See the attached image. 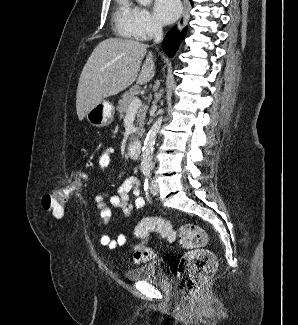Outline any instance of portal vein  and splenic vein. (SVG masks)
<instances>
[{"mask_svg": "<svg viewBox=\"0 0 298 325\" xmlns=\"http://www.w3.org/2000/svg\"><path fill=\"white\" fill-rule=\"evenodd\" d=\"M142 106V100L141 98H138V96H135L133 98L132 102H130L126 114H130V112H137L138 108Z\"/></svg>", "mask_w": 298, "mask_h": 325, "instance_id": "obj_1", "label": "portal vein and splenic vein"}]
</instances>
